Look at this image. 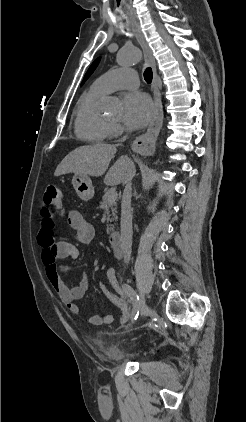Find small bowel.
Masks as SVG:
<instances>
[{
	"mask_svg": "<svg viewBox=\"0 0 246 422\" xmlns=\"http://www.w3.org/2000/svg\"><path fill=\"white\" fill-rule=\"evenodd\" d=\"M69 226L76 232V238L80 243L88 244L95 237L94 227L78 211L72 210L68 213ZM55 222L49 210L42 212L41 227L38 233V243L42 248V261L45 266L46 275L51 285L59 296L66 309L74 316L80 315V309L75 301L82 299L90 289V284L85 278H80L76 285L68 287L61 278V267L59 260L78 259L77 247L67 241H56L54 237ZM106 278L109 286L117 293L115 295L105 282H99L98 288L114 304L121 309L120 322L126 323L130 318L128 301L120 286L114 267L106 270ZM114 321L112 314L92 315L88 322L94 326L110 325Z\"/></svg>",
	"mask_w": 246,
	"mask_h": 422,
	"instance_id": "obj_1",
	"label": "small bowel"
}]
</instances>
